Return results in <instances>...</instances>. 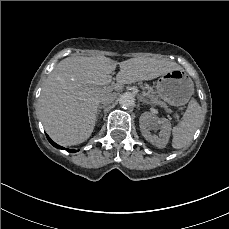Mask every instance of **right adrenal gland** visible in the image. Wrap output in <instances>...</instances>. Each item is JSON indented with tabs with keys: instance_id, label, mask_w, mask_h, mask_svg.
Segmentation results:
<instances>
[{
	"instance_id": "2a0ac1e0",
	"label": "right adrenal gland",
	"mask_w": 229,
	"mask_h": 229,
	"mask_svg": "<svg viewBox=\"0 0 229 229\" xmlns=\"http://www.w3.org/2000/svg\"><path fill=\"white\" fill-rule=\"evenodd\" d=\"M101 109H104V110H105V105L99 106V107H98V110H97V113H96V121H97V119H98V115H99L100 112H101Z\"/></svg>"
}]
</instances>
